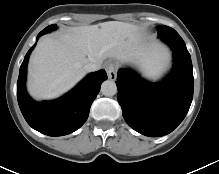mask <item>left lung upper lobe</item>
<instances>
[{
    "instance_id": "5c2ea615",
    "label": "left lung upper lobe",
    "mask_w": 219,
    "mask_h": 174,
    "mask_svg": "<svg viewBox=\"0 0 219 174\" xmlns=\"http://www.w3.org/2000/svg\"><path fill=\"white\" fill-rule=\"evenodd\" d=\"M157 30H158V36L160 38L179 36V34L174 29L165 25H159L157 27Z\"/></svg>"
}]
</instances>
